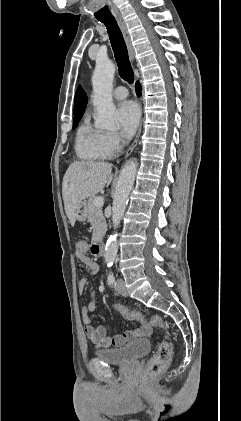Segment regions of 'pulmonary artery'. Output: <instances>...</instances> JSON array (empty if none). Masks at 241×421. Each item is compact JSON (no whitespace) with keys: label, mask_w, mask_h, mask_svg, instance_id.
I'll return each instance as SVG.
<instances>
[{"label":"pulmonary artery","mask_w":241,"mask_h":421,"mask_svg":"<svg viewBox=\"0 0 241 421\" xmlns=\"http://www.w3.org/2000/svg\"><path fill=\"white\" fill-rule=\"evenodd\" d=\"M112 95L115 99L121 100V99H125L128 96V91L125 87L118 86L117 88L114 89Z\"/></svg>","instance_id":"1"}]
</instances>
